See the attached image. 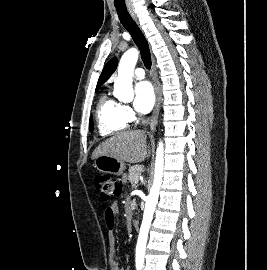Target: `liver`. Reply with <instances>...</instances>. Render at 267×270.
<instances>
[{
	"mask_svg": "<svg viewBox=\"0 0 267 270\" xmlns=\"http://www.w3.org/2000/svg\"><path fill=\"white\" fill-rule=\"evenodd\" d=\"M107 155L123 162L139 163L150 156L147 135L143 130L118 132L102 142L92 153V159Z\"/></svg>",
	"mask_w": 267,
	"mask_h": 270,
	"instance_id": "liver-1",
	"label": "liver"
}]
</instances>
